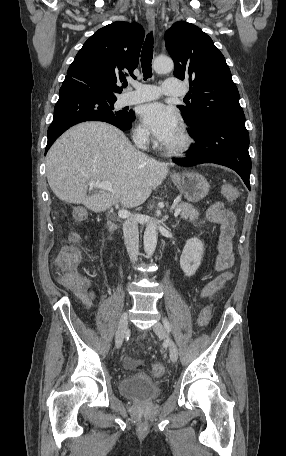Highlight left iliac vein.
<instances>
[{
	"instance_id": "1",
	"label": "left iliac vein",
	"mask_w": 286,
	"mask_h": 456,
	"mask_svg": "<svg viewBox=\"0 0 286 456\" xmlns=\"http://www.w3.org/2000/svg\"><path fill=\"white\" fill-rule=\"evenodd\" d=\"M153 330L158 337L167 340V342L169 344L170 359L172 362H176L178 359V349H177V346L174 343V341L168 336L167 331L164 328V326L161 323L157 322L153 326Z\"/></svg>"
}]
</instances>
